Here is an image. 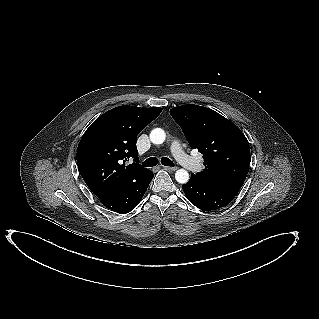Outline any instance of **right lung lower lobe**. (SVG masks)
<instances>
[{
  "instance_id": "1",
  "label": "right lung lower lobe",
  "mask_w": 319,
  "mask_h": 319,
  "mask_svg": "<svg viewBox=\"0 0 319 319\" xmlns=\"http://www.w3.org/2000/svg\"><path fill=\"white\" fill-rule=\"evenodd\" d=\"M153 173L147 169L135 179L117 188L110 195L100 199L108 209L125 214L132 211L142 199L149 183L153 179Z\"/></svg>"
}]
</instances>
